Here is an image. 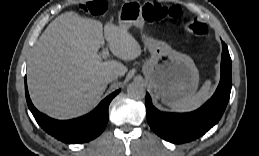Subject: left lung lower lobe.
Segmentation results:
<instances>
[{"mask_svg": "<svg viewBox=\"0 0 259 156\" xmlns=\"http://www.w3.org/2000/svg\"><path fill=\"white\" fill-rule=\"evenodd\" d=\"M221 80L213 97L194 112L177 114L157 110L146 94L147 120L152 130L161 138L172 143H185L199 138L212 128L222 117L231 92V58L222 42Z\"/></svg>", "mask_w": 259, "mask_h": 156, "instance_id": "1", "label": "left lung lower lobe"}]
</instances>
